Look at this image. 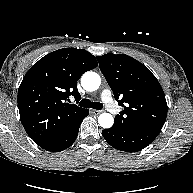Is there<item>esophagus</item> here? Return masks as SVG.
Wrapping results in <instances>:
<instances>
[{"label": "esophagus", "instance_id": "esophagus-1", "mask_svg": "<svg viewBox=\"0 0 193 193\" xmlns=\"http://www.w3.org/2000/svg\"><path fill=\"white\" fill-rule=\"evenodd\" d=\"M90 112H91L93 115H99V114L101 113V111L95 110V109H91Z\"/></svg>", "mask_w": 193, "mask_h": 193}]
</instances>
